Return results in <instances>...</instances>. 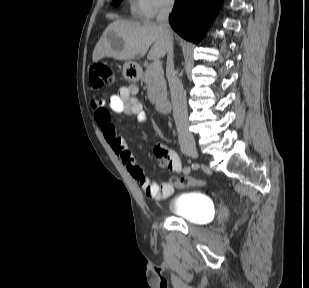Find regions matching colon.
Segmentation results:
<instances>
[{"instance_id":"colon-1","label":"colon","mask_w":309,"mask_h":288,"mask_svg":"<svg viewBox=\"0 0 309 288\" xmlns=\"http://www.w3.org/2000/svg\"><path fill=\"white\" fill-rule=\"evenodd\" d=\"M91 82L94 86L97 87L112 85L115 82L114 73L110 68L104 65H97L93 70L91 76ZM170 183L173 186L180 188L200 187L205 184V180L194 177H179V178H172Z\"/></svg>"}]
</instances>
